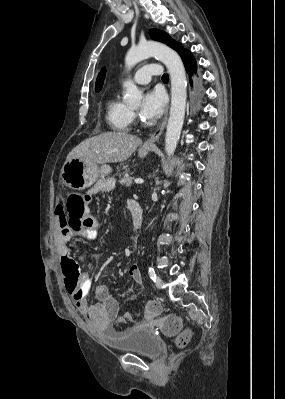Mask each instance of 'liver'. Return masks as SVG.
<instances>
[{"label": "liver", "instance_id": "liver-1", "mask_svg": "<svg viewBox=\"0 0 285 399\" xmlns=\"http://www.w3.org/2000/svg\"><path fill=\"white\" fill-rule=\"evenodd\" d=\"M140 143L137 136L124 131L105 132L81 142L69 152L66 161L76 158L91 164L123 162Z\"/></svg>", "mask_w": 285, "mask_h": 399}]
</instances>
